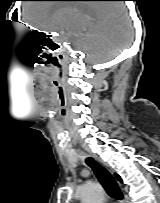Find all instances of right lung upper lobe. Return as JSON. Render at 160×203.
Returning <instances> with one entry per match:
<instances>
[{
  "label": "right lung upper lobe",
  "instance_id": "cb5924a9",
  "mask_svg": "<svg viewBox=\"0 0 160 203\" xmlns=\"http://www.w3.org/2000/svg\"><path fill=\"white\" fill-rule=\"evenodd\" d=\"M116 178H117V180L122 181L118 175H116Z\"/></svg>",
  "mask_w": 160,
  "mask_h": 203
}]
</instances>
